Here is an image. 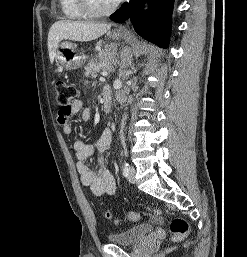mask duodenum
I'll return each mask as SVG.
<instances>
[{
	"instance_id": "obj_1",
	"label": "duodenum",
	"mask_w": 247,
	"mask_h": 257,
	"mask_svg": "<svg viewBox=\"0 0 247 257\" xmlns=\"http://www.w3.org/2000/svg\"><path fill=\"white\" fill-rule=\"evenodd\" d=\"M113 104L112 92L109 86L103 88V110L107 114L111 111Z\"/></svg>"
}]
</instances>
